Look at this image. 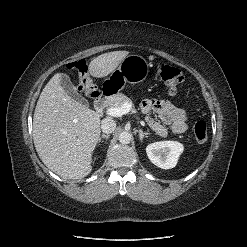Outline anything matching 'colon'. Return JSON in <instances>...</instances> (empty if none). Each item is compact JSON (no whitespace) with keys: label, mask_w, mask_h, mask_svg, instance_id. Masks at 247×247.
<instances>
[{"label":"colon","mask_w":247,"mask_h":247,"mask_svg":"<svg viewBox=\"0 0 247 247\" xmlns=\"http://www.w3.org/2000/svg\"><path fill=\"white\" fill-rule=\"evenodd\" d=\"M69 68L77 71L80 76V85L84 95L94 97L96 91L88 77V64L85 59L77 60L69 64ZM157 75L167 86L169 95H175L178 86L184 81V76L179 69L169 64H162L157 69ZM193 135L199 144H204L208 137L207 124L198 121L193 127Z\"/></svg>","instance_id":"1"}]
</instances>
